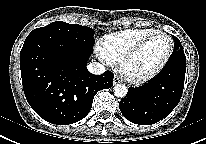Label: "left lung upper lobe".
Returning <instances> with one entry per match:
<instances>
[{
    "mask_svg": "<svg viewBox=\"0 0 206 144\" xmlns=\"http://www.w3.org/2000/svg\"><path fill=\"white\" fill-rule=\"evenodd\" d=\"M173 39H174V41H175L174 50H179V49H182V50H183V47H182L180 41L178 40V38H176L175 36H173Z\"/></svg>",
    "mask_w": 206,
    "mask_h": 144,
    "instance_id": "left-lung-upper-lobe-1",
    "label": "left lung upper lobe"
}]
</instances>
